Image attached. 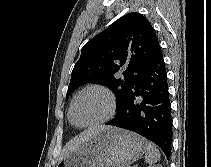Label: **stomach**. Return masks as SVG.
I'll list each match as a JSON object with an SVG mask.
<instances>
[{
    "label": "stomach",
    "instance_id": "obj_1",
    "mask_svg": "<svg viewBox=\"0 0 211 167\" xmlns=\"http://www.w3.org/2000/svg\"><path fill=\"white\" fill-rule=\"evenodd\" d=\"M146 150V141L132 132L109 127L65 155L56 167H129Z\"/></svg>",
    "mask_w": 211,
    "mask_h": 167
}]
</instances>
